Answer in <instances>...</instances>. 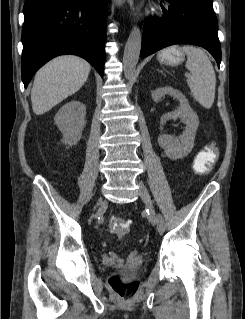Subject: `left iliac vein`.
Returning a JSON list of instances; mask_svg holds the SVG:
<instances>
[{
	"mask_svg": "<svg viewBox=\"0 0 245 319\" xmlns=\"http://www.w3.org/2000/svg\"><path fill=\"white\" fill-rule=\"evenodd\" d=\"M139 196L141 197V199L143 200V202L146 205V208L149 211V222L152 225H157L158 219H157V214H156V211L154 209L152 199H151L150 194L147 191L146 187L141 182L139 183ZM159 232H163V231H159Z\"/></svg>",
	"mask_w": 245,
	"mask_h": 319,
	"instance_id": "obj_1",
	"label": "left iliac vein"
}]
</instances>
